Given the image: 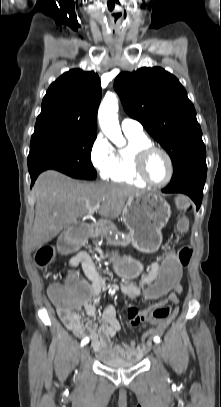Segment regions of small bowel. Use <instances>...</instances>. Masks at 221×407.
Returning <instances> with one entry per match:
<instances>
[{
    "mask_svg": "<svg viewBox=\"0 0 221 407\" xmlns=\"http://www.w3.org/2000/svg\"><path fill=\"white\" fill-rule=\"evenodd\" d=\"M69 266L71 269L82 267L87 279L90 281L89 286H83L78 289L79 305L83 309L85 320H82L79 313L76 311L61 314L66 327L71 330L79 338H88L92 348L100 355L108 358H124L127 360L139 359L149 349L148 340L156 335L164 332L166 327L178 314L179 295L182 292L181 285L176 286L175 292H162L156 305L167 306L171 302L169 316L160 319H154L153 327L143 335L142 343L137 345L131 342L128 346L113 345L111 340L120 330L121 325L116 317L115 308L113 305H107L100 315V324L95 321L97 317V309L91 302L92 299L98 298L105 290L107 283L105 278L97 271L94 263L87 252L81 251L70 259ZM159 263L151 262L148 270L141 275L138 284L132 282H124L120 291L123 295L130 299L142 297L148 290L149 283H154V279L158 277ZM75 275L70 273L67 280H73ZM151 305H132L128 309V319L132 325H145L147 319L146 314H151L153 309Z\"/></svg>",
    "mask_w": 221,
    "mask_h": 407,
    "instance_id": "c3829d8e",
    "label": "small bowel"
}]
</instances>
